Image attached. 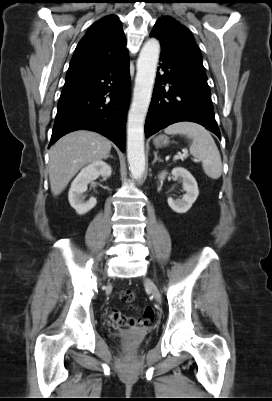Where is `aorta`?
<instances>
[{
	"mask_svg": "<svg viewBox=\"0 0 272 401\" xmlns=\"http://www.w3.org/2000/svg\"><path fill=\"white\" fill-rule=\"evenodd\" d=\"M160 43L151 38L143 45L138 60L132 104L127 123V159L132 177L140 179L145 170L144 122L151 102Z\"/></svg>",
	"mask_w": 272,
	"mask_h": 401,
	"instance_id": "762f6f07",
	"label": "aorta"
}]
</instances>
